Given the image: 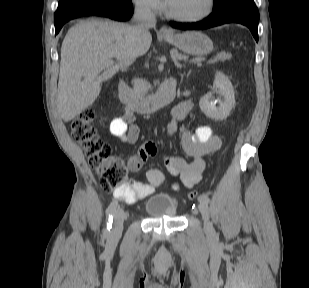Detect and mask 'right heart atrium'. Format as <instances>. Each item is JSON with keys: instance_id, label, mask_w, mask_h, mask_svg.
Masks as SVG:
<instances>
[{"instance_id": "obj_1", "label": "right heart atrium", "mask_w": 309, "mask_h": 288, "mask_svg": "<svg viewBox=\"0 0 309 288\" xmlns=\"http://www.w3.org/2000/svg\"><path fill=\"white\" fill-rule=\"evenodd\" d=\"M133 5L146 13H158L162 10L161 0H131Z\"/></svg>"}]
</instances>
